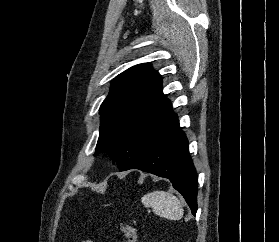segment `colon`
Segmentation results:
<instances>
[{"mask_svg": "<svg viewBox=\"0 0 279 242\" xmlns=\"http://www.w3.org/2000/svg\"><path fill=\"white\" fill-rule=\"evenodd\" d=\"M118 229L121 234L125 237L127 242H136L137 241V229L131 225L119 223Z\"/></svg>", "mask_w": 279, "mask_h": 242, "instance_id": "5ec220e1", "label": "colon"}]
</instances>
